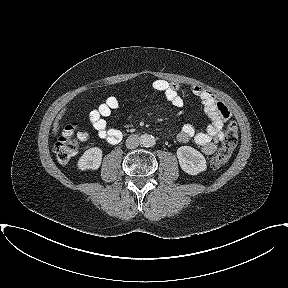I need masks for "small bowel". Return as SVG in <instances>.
Masks as SVG:
<instances>
[{"mask_svg": "<svg viewBox=\"0 0 288 288\" xmlns=\"http://www.w3.org/2000/svg\"><path fill=\"white\" fill-rule=\"evenodd\" d=\"M152 86L154 90L162 93L173 106L180 108L184 105V98L181 95V87L178 83L157 79ZM191 92L200 99L211 123L204 131L198 130L191 124H186L178 133L177 140L180 143H188L193 140L203 154L211 155L217 149V143L223 139L224 125L229 118V110L211 92L203 87L194 85L191 87ZM120 108L119 100L115 96H110L89 115L90 122L99 138L109 144H116L123 137V133L120 130L108 127L106 121V118L113 111Z\"/></svg>", "mask_w": 288, "mask_h": 288, "instance_id": "small-bowel-1", "label": "small bowel"}]
</instances>
